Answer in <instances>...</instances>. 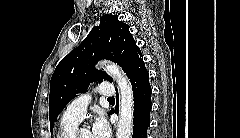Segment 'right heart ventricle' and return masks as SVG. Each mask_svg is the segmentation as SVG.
<instances>
[{
	"label": "right heart ventricle",
	"mask_w": 240,
	"mask_h": 138,
	"mask_svg": "<svg viewBox=\"0 0 240 138\" xmlns=\"http://www.w3.org/2000/svg\"><path fill=\"white\" fill-rule=\"evenodd\" d=\"M80 120L73 117L63 116L57 133V138H73Z\"/></svg>",
	"instance_id": "right-heart-ventricle-1"
}]
</instances>
